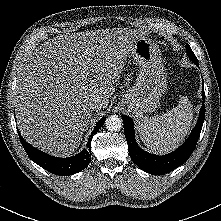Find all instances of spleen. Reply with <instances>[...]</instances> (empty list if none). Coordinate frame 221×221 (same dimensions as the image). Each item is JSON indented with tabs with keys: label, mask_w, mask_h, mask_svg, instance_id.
Masks as SVG:
<instances>
[{
	"label": "spleen",
	"mask_w": 221,
	"mask_h": 221,
	"mask_svg": "<svg viewBox=\"0 0 221 221\" xmlns=\"http://www.w3.org/2000/svg\"><path fill=\"white\" fill-rule=\"evenodd\" d=\"M192 111L191 102L187 96H183L175 108L161 116L138 117L136 129L142 142L155 152L175 149L190 130Z\"/></svg>",
	"instance_id": "obj_1"
}]
</instances>
